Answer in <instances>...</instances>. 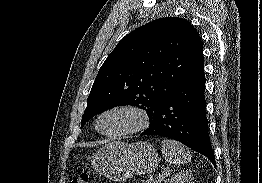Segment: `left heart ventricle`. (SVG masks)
<instances>
[{"mask_svg":"<svg viewBox=\"0 0 262 183\" xmlns=\"http://www.w3.org/2000/svg\"><path fill=\"white\" fill-rule=\"evenodd\" d=\"M136 121L137 118L132 112L115 111L102 118L100 128L105 133H116L132 127Z\"/></svg>","mask_w":262,"mask_h":183,"instance_id":"obj_1","label":"left heart ventricle"}]
</instances>
